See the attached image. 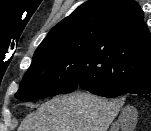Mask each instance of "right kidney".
Here are the masks:
<instances>
[{
  "mask_svg": "<svg viewBox=\"0 0 151 131\" xmlns=\"http://www.w3.org/2000/svg\"><path fill=\"white\" fill-rule=\"evenodd\" d=\"M129 122H131L133 120V117L130 116V115H126L125 117ZM131 124V123H130ZM123 126V122H122V118L116 122L113 127H112V131H117L118 130V127H121L122 128V131H133V125L129 126V127H122Z\"/></svg>",
  "mask_w": 151,
  "mask_h": 131,
  "instance_id": "obj_1",
  "label": "right kidney"
}]
</instances>
